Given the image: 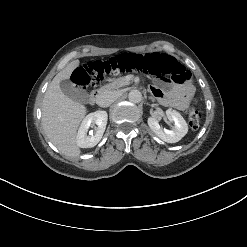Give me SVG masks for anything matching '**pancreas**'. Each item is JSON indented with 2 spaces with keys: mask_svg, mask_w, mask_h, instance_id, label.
<instances>
[{
  "mask_svg": "<svg viewBox=\"0 0 247 247\" xmlns=\"http://www.w3.org/2000/svg\"><path fill=\"white\" fill-rule=\"evenodd\" d=\"M128 84H129V81L126 79V77L116 78L112 81V83L101 87L99 90V93H103L105 91L112 90V89H119V88L124 87Z\"/></svg>",
  "mask_w": 247,
  "mask_h": 247,
  "instance_id": "pancreas-1",
  "label": "pancreas"
}]
</instances>
